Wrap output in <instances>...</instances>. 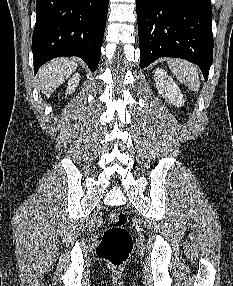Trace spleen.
Masks as SVG:
<instances>
[{
  "mask_svg": "<svg viewBox=\"0 0 233 286\" xmlns=\"http://www.w3.org/2000/svg\"><path fill=\"white\" fill-rule=\"evenodd\" d=\"M171 72L192 91L200 88L198 67L183 59H169L167 61Z\"/></svg>",
  "mask_w": 233,
  "mask_h": 286,
  "instance_id": "1",
  "label": "spleen"
}]
</instances>
